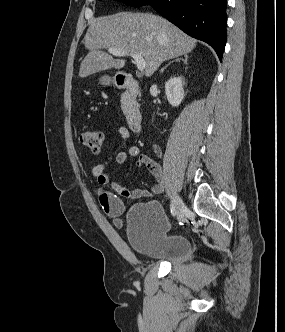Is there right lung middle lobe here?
<instances>
[{"mask_svg":"<svg viewBox=\"0 0 285 332\" xmlns=\"http://www.w3.org/2000/svg\"><path fill=\"white\" fill-rule=\"evenodd\" d=\"M152 1L153 0H121V2L125 3L126 5L134 6V7H140V6H143V5H148Z\"/></svg>","mask_w":285,"mask_h":332,"instance_id":"obj_1","label":"right lung middle lobe"}]
</instances>
